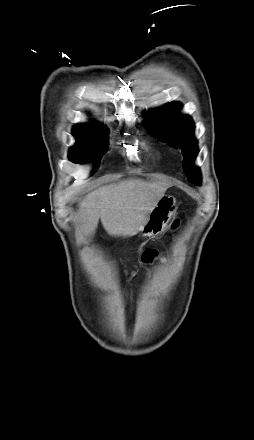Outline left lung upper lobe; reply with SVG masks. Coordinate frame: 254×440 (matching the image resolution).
<instances>
[{
    "label": "left lung upper lobe",
    "instance_id": "1",
    "mask_svg": "<svg viewBox=\"0 0 254 440\" xmlns=\"http://www.w3.org/2000/svg\"><path fill=\"white\" fill-rule=\"evenodd\" d=\"M181 106L178 103H168L149 114L150 122H145L148 128L160 139L170 145L179 146L184 156V171L188 180L200 182L198 168L192 166L198 154L197 141L194 139V124L191 118L178 115Z\"/></svg>",
    "mask_w": 254,
    "mask_h": 440
}]
</instances>
